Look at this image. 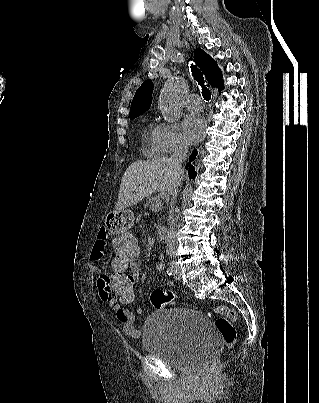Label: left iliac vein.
I'll return each mask as SVG.
<instances>
[{
  "label": "left iliac vein",
  "instance_id": "4c4485c4",
  "mask_svg": "<svg viewBox=\"0 0 319 403\" xmlns=\"http://www.w3.org/2000/svg\"><path fill=\"white\" fill-rule=\"evenodd\" d=\"M172 268L174 270V277L176 280H179L181 278V271L179 267L176 264H172Z\"/></svg>",
  "mask_w": 319,
  "mask_h": 403
}]
</instances>
